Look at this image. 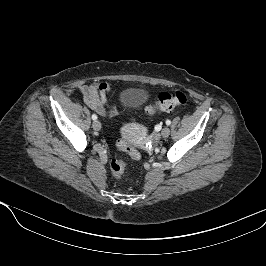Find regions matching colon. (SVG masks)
Listing matches in <instances>:
<instances>
[{"instance_id":"colon-1","label":"colon","mask_w":266,"mask_h":266,"mask_svg":"<svg viewBox=\"0 0 266 266\" xmlns=\"http://www.w3.org/2000/svg\"><path fill=\"white\" fill-rule=\"evenodd\" d=\"M186 102L187 97L182 91H175L174 93L163 92L159 94L155 104L147 107L146 111L148 114H153L156 110L171 111L176 107L185 105ZM116 146L127 153L133 160L141 158L139 151L126 139H119ZM125 168L126 162L121 159H113L110 163L111 173L117 179L122 177Z\"/></svg>"}]
</instances>
